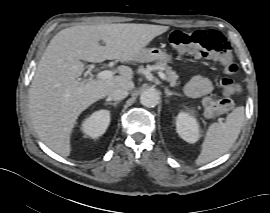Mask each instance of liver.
<instances>
[{"instance_id":"liver-1","label":"liver","mask_w":270,"mask_h":213,"mask_svg":"<svg viewBox=\"0 0 270 213\" xmlns=\"http://www.w3.org/2000/svg\"><path fill=\"white\" fill-rule=\"evenodd\" d=\"M168 30V26L126 23L79 25L58 32L39 61L29 91V114L39 138L57 154L69 156L78 116L111 90L135 87L129 68H119L120 75L109 79L81 81L82 61H136L145 46Z\"/></svg>"}]
</instances>
